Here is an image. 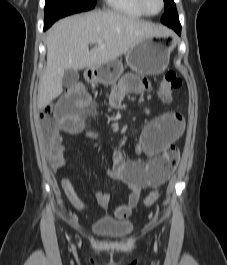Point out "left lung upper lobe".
Instances as JSON below:
<instances>
[{
  "mask_svg": "<svg viewBox=\"0 0 227 265\" xmlns=\"http://www.w3.org/2000/svg\"><path fill=\"white\" fill-rule=\"evenodd\" d=\"M165 13L162 16L161 22L171 27V24L180 25L176 6L173 0H164Z\"/></svg>",
  "mask_w": 227,
  "mask_h": 265,
  "instance_id": "1",
  "label": "left lung upper lobe"
}]
</instances>
